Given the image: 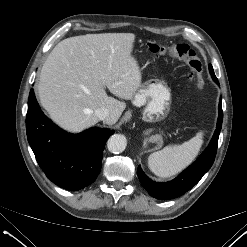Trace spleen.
I'll return each instance as SVG.
<instances>
[{
  "mask_svg": "<svg viewBox=\"0 0 247 247\" xmlns=\"http://www.w3.org/2000/svg\"><path fill=\"white\" fill-rule=\"evenodd\" d=\"M204 133L198 132L195 137L181 145H170L148 157V167L157 176L168 178L176 175L197 157L203 144Z\"/></svg>",
  "mask_w": 247,
  "mask_h": 247,
  "instance_id": "1",
  "label": "spleen"
}]
</instances>
